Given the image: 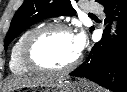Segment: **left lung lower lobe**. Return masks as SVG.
Segmentation results:
<instances>
[{"instance_id": "1", "label": "left lung lower lobe", "mask_w": 127, "mask_h": 92, "mask_svg": "<svg viewBox=\"0 0 127 92\" xmlns=\"http://www.w3.org/2000/svg\"><path fill=\"white\" fill-rule=\"evenodd\" d=\"M104 7L107 21L112 12L119 16L117 35L111 39L110 26L106 27L86 61L69 75L85 77L114 92H127V0H113Z\"/></svg>"}]
</instances>
